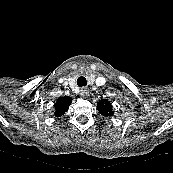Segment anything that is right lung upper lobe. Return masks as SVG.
Masks as SVG:
<instances>
[{"instance_id":"1","label":"right lung upper lobe","mask_w":173,"mask_h":173,"mask_svg":"<svg viewBox=\"0 0 173 173\" xmlns=\"http://www.w3.org/2000/svg\"><path fill=\"white\" fill-rule=\"evenodd\" d=\"M72 98L69 96L58 98L57 102L54 104L55 116L61 117L65 114L71 104Z\"/></svg>"}]
</instances>
